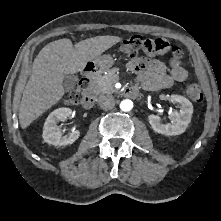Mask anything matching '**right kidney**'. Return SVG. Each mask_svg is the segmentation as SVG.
Returning a JSON list of instances; mask_svg holds the SVG:
<instances>
[{"label": "right kidney", "mask_w": 221, "mask_h": 221, "mask_svg": "<svg viewBox=\"0 0 221 221\" xmlns=\"http://www.w3.org/2000/svg\"><path fill=\"white\" fill-rule=\"evenodd\" d=\"M71 115L72 110L70 108H59L51 112L44 123L42 135L44 141L55 146L74 143L80 136L78 130H72L68 135L63 136V133L57 127L59 120L66 119Z\"/></svg>", "instance_id": "obj_1"}]
</instances>
